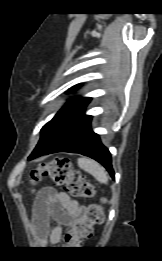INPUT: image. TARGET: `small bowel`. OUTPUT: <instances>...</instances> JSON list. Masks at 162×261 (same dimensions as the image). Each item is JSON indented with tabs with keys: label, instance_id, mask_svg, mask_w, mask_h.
Segmentation results:
<instances>
[{
	"label": "small bowel",
	"instance_id": "small-bowel-1",
	"mask_svg": "<svg viewBox=\"0 0 162 261\" xmlns=\"http://www.w3.org/2000/svg\"><path fill=\"white\" fill-rule=\"evenodd\" d=\"M34 207L37 230L49 227L51 219L56 223L49 233L51 245H58L62 242L63 228H67L70 237L72 236L75 223L83 212V206L76 200L67 193L57 191L52 187H44L40 190Z\"/></svg>",
	"mask_w": 162,
	"mask_h": 261
}]
</instances>
